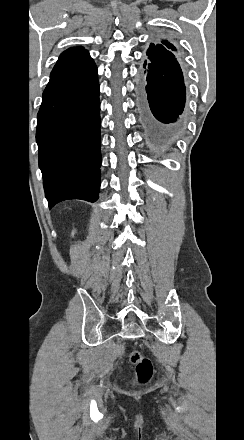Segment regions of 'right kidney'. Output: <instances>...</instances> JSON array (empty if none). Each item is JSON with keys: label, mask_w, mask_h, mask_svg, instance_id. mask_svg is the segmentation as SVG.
Returning <instances> with one entry per match:
<instances>
[{"label": "right kidney", "mask_w": 244, "mask_h": 440, "mask_svg": "<svg viewBox=\"0 0 244 440\" xmlns=\"http://www.w3.org/2000/svg\"><path fill=\"white\" fill-rule=\"evenodd\" d=\"M75 232H72V236H74Z\"/></svg>", "instance_id": "ca27d5eb"}]
</instances>
